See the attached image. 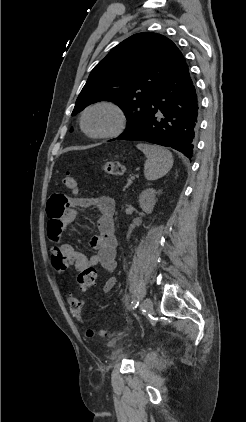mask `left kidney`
<instances>
[{"label":"left kidney","instance_id":"1","mask_svg":"<svg viewBox=\"0 0 246 422\" xmlns=\"http://www.w3.org/2000/svg\"><path fill=\"white\" fill-rule=\"evenodd\" d=\"M156 201V190L153 188H148L139 195V205L147 214L152 213Z\"/></svg>","mask_w":246,"mask_h":422}]
</instances>
